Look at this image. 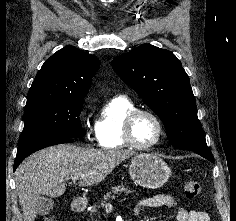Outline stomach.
<instances>
[{
    "mask_svg": "<svg viewBox=\"0 0 236 221\" xmlns=\"http://www.w3.org/2000/svg\"><path fill=\"white\" fill-rule=\"evenodd\" d=\"M129 174L137 185L147 189H156L168 181L171 169L159 156L140 153L131 159Z\"/></svg>",
    "mask_w": 236,
    "mask_h": 221,
    "instance_id": "0dacf381",
    "label": "stomach"
}]
</instances>
